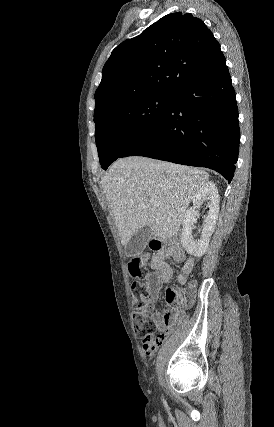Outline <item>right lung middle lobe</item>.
I'll use <instances>...</instances> for the list:
<instances>
[{
	"label": "right lung middle lobe",
	"mask_w": 274,
	"mask_h": 427,
	"mask_svg": "<svg viewBox=\"0 0 274 427\" xmlns=\"http://www.w3.org/2000/svg\"><path fill=\"white\" fill-rule=\"evenodd\" d=\"M172 97V94L132 96L94 117L96 145L103 169L163 119Z\"/></svg>",
	"instance_id": "1"
}]
</instances>
